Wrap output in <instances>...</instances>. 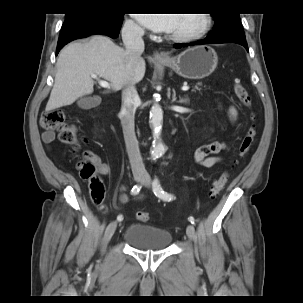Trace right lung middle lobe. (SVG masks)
Listing matches in <instances>:
<instances>
[{
	"mask_svg": "<svg viewBox=\"0 0 303 303\" xmlns=\"http://www.w3.org/2000/svg\"><path fill=\"white\" fill-rule=\"evenodd\" d=\"M87 13H92V14H99V15H108L112 17H123V14H110V13H102L96 10H88L86 11Z\"/></svg>",
	"mask_w": 303,
	"mask_h": 303,
	"instance_id": "obj_1",
	"label": "right lung middle lobe"
}]
</instances>
